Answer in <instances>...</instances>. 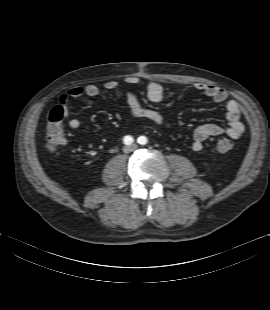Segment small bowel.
<instances>
[{
  "label": "small bowel",
  "mask_w": 270,
  "mask_h": 310,
  "mask_svg": "<svg viewBox=\"0 0 270 310\" xmlns=\"http://www.w3.org/2000/svg\"><path fill=\"white\" fill-rule=\"evenodd\" d=\"M125 82L130 85H138L141 83V79L135 76H130L125 79ZM118 85V82L109 80L104 83L103 87L105 90H114ZM195 89L214 102L225 105L228 126L224 128L214 123H206L198 126L193 133V141L191 144L192 150L200 151L203 147V142L210 137L222 134H226L232 139H238L241 137L245 128L241 121L242 111L239 103L235 99H231L226 90L215 85L197 83L195 84ZM145 91L147 98L152 102H162L174 96L173 92L165 91L159 83L154 81L146 83ZM101 93V88L95 84L76 86L60 96L57 106L63 110L64 117L67 118L69 116L68 102L71 98H78L82 95L97 97L100 96ZM126 100L132 116L149 120L158 125L164 124V116L155 109L142 106L135 92L128 91L126 93ZM68 124L71 129H79L82 127V122L78 119H70Z\"/></svg>",
  "instance_id": "c3829d8e"
}]
</instances>
